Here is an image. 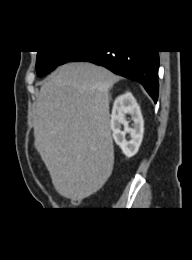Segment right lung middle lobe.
Returning a JSON list of instances; mask_svg holds the SVG:
<instances>
[{"mask_svg": "<svg viewBox=\"0 0 192 260\" xmlns=\"http://www.w3.org/2000/svg\"><path fill=\"white\" fill-rule=\"evenodd\" d=\"M69 54V51H38L36 60V70L38 76H43L58 65L62 64L63 59Z\"/></svg>", "mask_w": 192, "mask_h": 260, "instance_id": "right-lung-middle-lobe-1", "label": "right lung middle lobe"}]
</instances>
